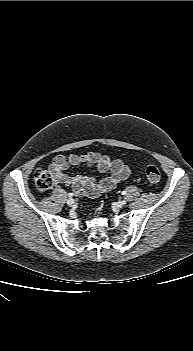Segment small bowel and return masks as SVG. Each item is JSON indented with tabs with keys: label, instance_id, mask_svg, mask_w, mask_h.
Returning a JSON list of instances; mask_svg holds the SVG:
<instances>
[{
	"label": "small bowel",
	"instance_id": "small-bowel-1",
	"mask_svg": "<svg viewBox=\"0 0 193 351\" xmlns=\"http://www.w3.org/2000/svg\"><path fill=\"white\" fill-rule=\"evenodd\" d=\"M78 165L95 167L99 172H108L109 175L96 181L93 177L69 176L65 173L69 167ZM49 170L57 184L72 186L76 192L91 198L115 189L130 175V168L121 159H111L98 152L58 155L53 159Z\"/></svg>",
	"mask_w": 193,
	"mask_h": 351
}]
</instances>
